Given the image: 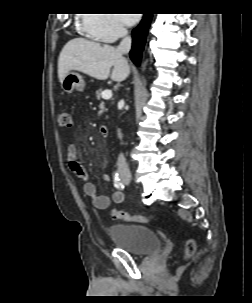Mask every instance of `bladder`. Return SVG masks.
Listing matches in <instances>:
<instances>
[{"label": "bladder", "mask_w": 252, "mask_h": 303, "mask_svg": "<svg viewBox=\"0 0 252 303\" xmlns=\"http://www.w3.org/2000/svg\"><path fill=\"white\" fill-rule=\"evenodd\" d=\"M108 232L117 247L136 256L144 257L161 250V242L157 233L148 226L112 224L109 226Z\"/></svg>", "instance_id": "1"}]
</instances>
